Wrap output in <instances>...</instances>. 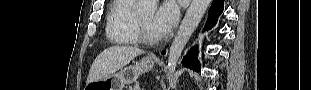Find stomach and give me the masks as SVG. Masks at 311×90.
Returning <instances> with one entry per match:
<instances>
[{"label":"stomach","mask_w":311,"mask_h":90,"mask_svg":"<svg viewBox=\"0 0 311 90\" xmlns=\"http://www.w3.org/2000/svg\"><path fill=\"white\" fill-rule=\"evenodd\" d=\"M156 61L155 58L144 57L133 65L121 68L117 73L87 84L85 90H124L125 86L135 82L141 74L152 70Z\"/></svg>","instance_id":"stomach-1"}]
</instances>
